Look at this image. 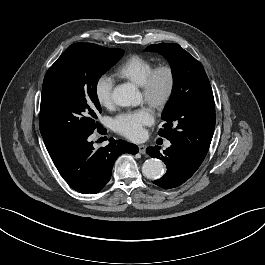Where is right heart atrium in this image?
<instances>
[{
  "instance_id": "obj_1",
  "label": "right heart atrium",
  "mask_w": 265,
  "mask_h": 265,
  "mask_svg": "<svg viewBox=\"0 0 265 265\" xmlns=\"http://www.w3.org/2000/svg\"><path fill=\"white\" fill-rule=\"evenodd\" d=\"M114 80L107 74L100 75L94 83V95L98 104L105 108L113 105Z\"/></svg>"
}]
</instances>
